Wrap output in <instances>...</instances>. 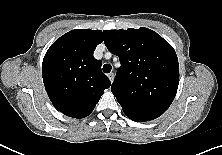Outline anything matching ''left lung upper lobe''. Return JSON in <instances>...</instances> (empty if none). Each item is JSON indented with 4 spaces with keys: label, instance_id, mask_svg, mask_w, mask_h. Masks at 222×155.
Masks as SVG:
<instances>
[{
    "label": "left lung upper lobe",
    "instance_id": "obj_1",
    "mask_svg": "<svg viewBox=\"0 0 222 155\" xmlns=\"http://www.w3.org/2000/svg\"><path fill=\"white\" fill-rule=\"evenodd\" d=\"M104 43L121 67L111 91L127 116L152 120L171 105L179 84L173 47L156 32L141 27L104 30Z\"/></svg>",
    "mask_w": 222,
    "mask_h": 155
}]
</instances>
